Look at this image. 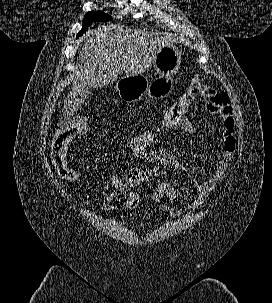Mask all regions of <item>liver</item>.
Masks as SVG:
<instances>
[{
	"label": "liver",
	"instance_id": "6515ba94",
	"mask_svg": "<svg viewBox=\"0 0 272 303\" xmlns=\"http://www.w3.org/2000/svg\"><path fill=\"white\" fill-rule=\"evenodd\" d=\"M72 91L64 100L65 118L70 121L84 103L91 87L114 83L121 69L126 77L148 70L158 52L172 43L160 33L107 25L85 33Z\"/></svg>",
	"mask_w": 272,
	"mask_h": 303
}]
</instances>
